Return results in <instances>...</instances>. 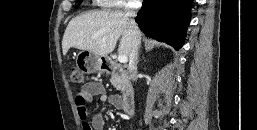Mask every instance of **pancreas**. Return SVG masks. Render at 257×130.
Wrapping results in <instances>:
<instances>
[{"mask_svg":"<svg viewBox=\"0 0 257 130\" xmlns=\"http://www.w3.org/2000/svg\"><path fill=\"white\" fill-rule=\"evenodd\" d=\"M124 77L120 75L113 74L110 82L111 84L117 89V90H124L123 85H124Z\"/></svg>","mask_w":257,"mask_h":130,"instance_id":"cf45deb5","label":"pancreas"}]
</instances>
